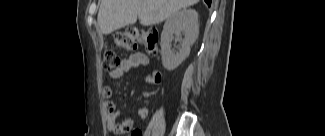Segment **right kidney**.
<instances>
[{"label": "right kidney", "instance_id": "ca27d5eb", "mask_svg": "<svg viewBox=\"0 0 325 136\" xmlns=\"http://www.w3.org/2000/svg\"><path fill=\"white\" fill-rule=\"evenodd\" d=\"M181 33L184 39H181ZM199 34L198 13L194 9H183L173 13L165 22L161 33V56L165 69H176L190 54L191 46ZM181 40V47L171 49L174 39Z\"/></svg>", "mask_w": 325, "mask_h": 136}]
</instances>
